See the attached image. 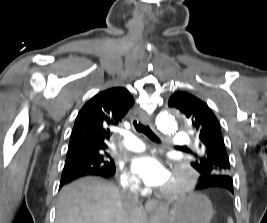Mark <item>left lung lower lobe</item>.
<instances>
[{"label":"left lung lower lobe","instance_id":"left-lung-lower-lobe-1","mask_svg":"<svg viewBox=\"0 0 267 223\" xmlns=\"http://www.w3.org/2000/svg\"><path fill=\"white\" fill-rule=\"evenodd\" d=\"M202 181L196 186L197 192H214L217 195H232L233 182L229 173H199Z\"/></svg>","mask_w":267,"mask_h":223}]
</instances>
